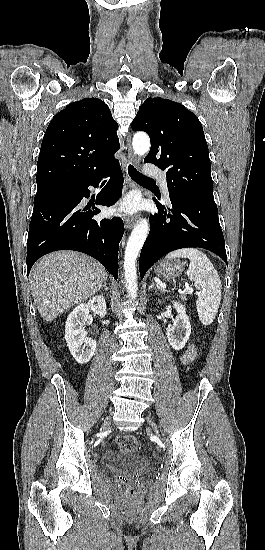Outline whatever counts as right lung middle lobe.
Wrapping results in <instances>:
<instances>
[{"label":"right lung middle lobe","instance_id":"dd1d6c3e","mask_svg":"<svg viewBox=\"0 0 265 550\" xmlns=\"http://www.w3.org/2000/svg\"><path fill=\"white\" fill-rule=\"evenodd\" d=\"M67 188V186L63 185H44L41 187H37V193L34 198V205L63 193Z\"/></svg>","mask_w":265,"mask_h":550}]
</instances>
